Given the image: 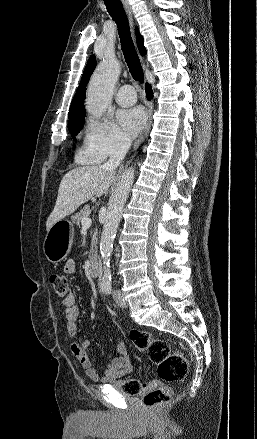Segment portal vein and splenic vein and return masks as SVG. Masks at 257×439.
Returning <instances> with one entry per match:
<instances>
[{
    "mask_svg": "<svg viewBox=\"0 0 257 439\" xmlns=\"http://www.w3.org/2000/svg\"><path fill=\"white\" fill-rule=\"evenodd\" d=\"M81 224L83 228H89L92 224V220L89 217H84L81 220Z\"/></svg>",
    "mask_w": 257,
    "mask_h": 439,
    "instance_id": "18ae733b",
    "label": "portal vein and splenic vein"
}]
</instances>
